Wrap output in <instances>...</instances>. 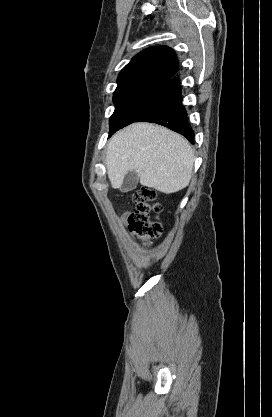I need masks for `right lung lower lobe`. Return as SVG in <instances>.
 I'll list each match as a JSON object with an SVG mask.
<instances>
[{
    "instance_id": "98d812e1",
    "label": "right lung lower lobe",
    "mask_w": 272,
    "mask_h": 417,
    "mask_svg": "<svg viewBox=\"0 0 272 417\" xmlns=\"http://www.w3.org/2000/svg\"><path fill=\"white\" fill-rule=\"evenodd\" d=\"M181 101V88L178 79H172L164 86L149 107L133 122L147 121L166 126L192 142L194 132L187 121L186 110Z\"/></svg>"
}]
</instances>
